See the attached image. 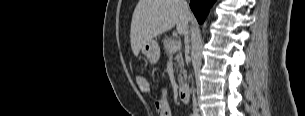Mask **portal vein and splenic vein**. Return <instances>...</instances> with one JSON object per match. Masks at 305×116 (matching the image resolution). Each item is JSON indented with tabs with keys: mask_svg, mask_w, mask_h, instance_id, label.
Returning a JSON list of instances; mask_svg holds the SVG:
<instances>
[{
	"mask_svg": "<svg viewBox=\"0 0 305 116\" xmlns=\"http://www.w3.org/2000/svg\"><path fill=\"white\" fill-rule=\"evenodd\" d=\"M180 48H181V42L180 41H175L170 46V51L172 53H174V52H177L178 50H180Z\"/></svg>",
	"mask_w": 305,
	"mask_h": 116,
	"instance_id": "1",
	"label": "portal vein and splenic vein"
}]
</instances>
